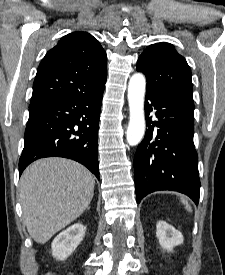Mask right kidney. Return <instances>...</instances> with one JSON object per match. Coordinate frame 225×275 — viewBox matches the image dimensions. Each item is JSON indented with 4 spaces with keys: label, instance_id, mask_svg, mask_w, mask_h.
<instances>
[{
    "label": "right kidney",
    "instance_id": "ca27d5eb",
    "mask_svg": "<svg viewBox=\"0 0 225 275\" xmlns=\"http://www.w3.org/2000/svg\"><path fill=\"white\" fill-rule=\"evenodd\" d=\"M86 227L80 223L73 224L58 234L53 240L52 255L57 260H65L78 247L85 235Z\"/></svg>",
    "mask_w": 225,
    "mask_h": 275
}]
</instances>
